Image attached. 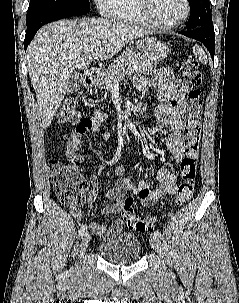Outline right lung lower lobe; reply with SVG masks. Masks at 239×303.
<instances>
[{"instance_id": "1", "label": "right lung lower lobe", "mask_w": 239, "mask_h": 303, "mask_svg": "<svg viewBox=\"0 0 239 303\" xmlns=\"http://www.w3.org/2000/svg\"><path fill=\"white\" fill-rule=\"evenodd\" d=\"M90 11L89 9H81V8H74V9H50L44 10L40 13L33 14L31 17H27L26 24H27V31L24 40V47L25 50L27 49L30 41L35 36L36 32L40 27L44 24L60 20L62 18H68L71 16L83 15Z\"/></svg>"}]
</instances>
